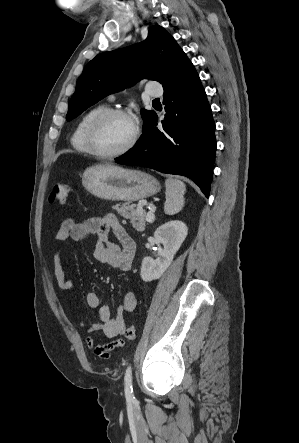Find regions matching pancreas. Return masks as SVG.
<instances>
[{
	"mask_svg": "<svg viewBox=\"0 0 299 443\" xmlns=\"http://www.w3.org/2000/svg\"><path fill=\"white\" fill-rule=\"evenodd\" d=\"M135 207L136 205L131 204V202L128 201L122 204H116L113 206V209L117 210L124 218L129 219L133 228L142 232L146 228L145 220L147 213L144 210L136 209Z\"/></svg>",
	"mask_w": 299,
	"mask_h": 443,
	"instance_id": "pancreas-1",
	"label": "pancreas"
}]
</instances>
